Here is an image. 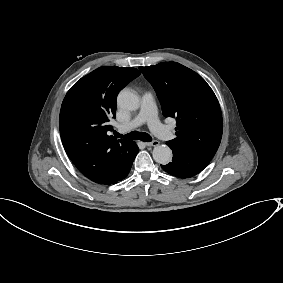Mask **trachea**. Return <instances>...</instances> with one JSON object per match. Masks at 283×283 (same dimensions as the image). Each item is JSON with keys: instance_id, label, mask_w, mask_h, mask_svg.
Wrapping results in <instances>:
<instances>
[{"instance_id": "1", "label": "trachea", "mask_w": 283, "mask_h": 283, "mask_svg": "<svg viewBox=\"0 0 283 283\" xmlns=\"http://www.w3.org/2000/svg\"><path fill=\"white\" fill-rule=\"evenodd\" d=\"M116 136L120 138L130 139V140L140 139L141 141H144V142H151L153 140L152 137L148 133H139L138 131H132L125 135L116 133Z\"/></svg>"}]
</instances>
